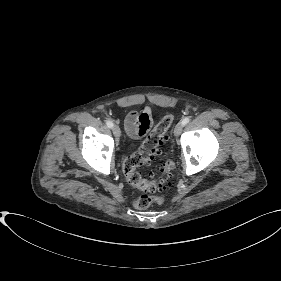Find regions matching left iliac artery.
I'll return each mask as SVG.
<instances>
[{
    "mask_svg": "<svg viewBox=\"0 0 281 281\" xmlns=\"http://www.w3.org/2000/svg\"><path fill=\"white\" fill-rule=\"evenodd\" d=\"M190 119L189 117H185L183 120H182V124L183 125H186L187 123H189Z\"/></svg>",
    "mask_w": 281,
    "mask_h": 281,
    "instance_id": "44dca946",
    "label": "left iliac artery"
}]
</instances>
